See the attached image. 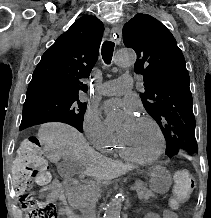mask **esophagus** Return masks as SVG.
I'll use <instances>...</instances> for the list:
<instances>
[{"label": "esophagus", "mask_w": 211, "mask_h": 218, "mask_svg": "<svg viewBox=\"0 0 211 218\" xmlns=\"http://www.w3.org/2000/svg\"><path fill=\"white\" fill-rule=\"evenodd\" d=\"M122 37V30L120 27L115 26L111 29L110 38L114 40L116 44H120Z\"/></svg>", "instance_id": "1"}]
</instances>
